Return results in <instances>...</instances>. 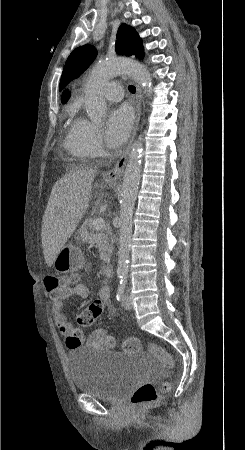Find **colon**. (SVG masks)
Returning a JSON list of instances; mask_svg holds the SVG:
<instances>
[{
  "label": "colon",
  "instance_id": "1",
  "mask_svg": "<svg viewBox=\"0 0 245 450\" xmlns=\"http://www.w3.org/2000/svg\"><path fill=\"white\" fill-rule=\"evenodd\" d=\"M76 280L77 276L75 274L67 277L48 276L45 279V289L48 293L56 292ZM102 307V302L96 300L78 315L77 327L68 337V344L70 346H79L85 342L84 329L91 327L95 323L101 315ZM138 347V342L133 338L128 339L124 344L125 350L130 352L136 351ZM148 350L161 362L164 367H170L172 365L171 355L162 347L154 343H149ZM170 387V381H163L158 388H156L152 383H144L135 390L131 396L130 404L134 408H141L146 405L154 404L160 399L161 393L167 392Z\"/></svg>",
  "mask_w": 245,
  "mask_h": 450
}]
</instances>
